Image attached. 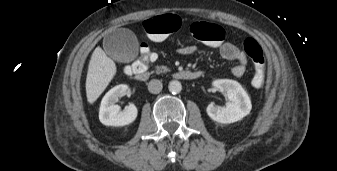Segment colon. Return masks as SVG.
Returning <instances> with one entry per match:
<instances>
[{"label":"colon","mask_w":337,"mask_h":171,"mask_svg":"<svg viewBox=\"0 0 337 171\" xmlns=\"http://www.w3.org/2000/svg\"><path fill=\"white\" fill-rule=\"evenodd\" d=\"M181 26V19L176 15H162L151 17L144 22V29L147 36L154 41H161L169 34L176 32ZM191 35L200 41L211 45L219 44L225 37L224 29L216 24L197 21L191 25ZM245 53L250 58L254 75L252 84L255 87H261L265 80V55L259 43L248 37L243 42ZM153 46L149 42H144L140 46L139 60L133 67H127L126 71H133V68H147L158 61L156 53L152 52Z\"/></svg>","instance_id":"1"}]
</instances>
